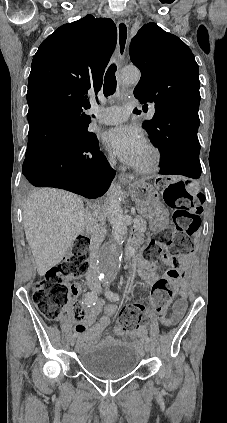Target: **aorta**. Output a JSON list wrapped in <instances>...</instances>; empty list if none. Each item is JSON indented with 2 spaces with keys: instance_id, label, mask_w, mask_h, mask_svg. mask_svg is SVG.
<instances>
[{
  "instance_id": "1",
  "label": "aorta",
  "mask_w": 227,
  "mask_h": 423,
  "mask_svg": "<svg viewBox=\"0 0 227 423\" xmlns=\"http://www.w3.org/2000/svg\"><path fill=\"white\" fill-rule=\"evenodd\" d=\"M123 83H137L140 79V72L135 67H128L122 71ZM120 187L112 183L107 193V212L112 226V241L103 246L99 252L98 270L104 281L115 277L121 264L120 246L127 236V224L120 206Z\"/></svg>"
}]
</instances>
